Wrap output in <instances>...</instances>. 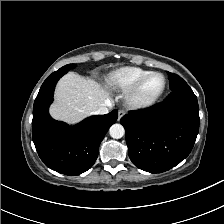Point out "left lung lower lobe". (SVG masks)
I'll return each mask as SVG.
<instances>
[{
    "label": "left lung lower lobe",
    "instance_id": "0a47b994",
    "mask_svg": "<svg viewBox=\"0 0 224 224\" xmlns=\"http://www.w3.org/2000/svg\"><path fill=\"white\" fill-rule=\"evenodd\" d=\"M199 120L197 98L187 84L172 90L160 104L130 111L120 121L131 161L150 173L176 166L191 152Z\"/></svg>",
    "mask_w": 224,
    "mask_h": 224
}]
</instances>
